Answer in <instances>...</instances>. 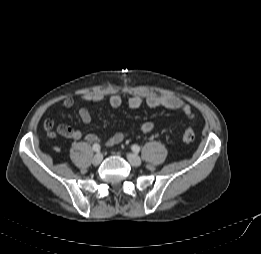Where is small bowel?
<instances>
[{"label": "small bowel", "mask_w": 261, "mask_h": 254, "mask_svg": "<svg viewBox=\"0 0 261 254\" xmlns=\"http://www.w3.org/2000/svg\"><path fill=\"white\" fill-rule=\"evenodd\" d=\"M106 94L103 92L98 93H85L81 96V99L85 102H100L106 99ZM109 105L113 108H118L122 105V97L118 94H113L108 98ZM60 105L64 108H71L74 105V100L71 97H67L60 102ZM142 105H147L150 108L163 107L170 110H178L182 112L188 119H192L194 114L190 105L184 102L182 99L170 96V95H158L148 94L146 97L134 96L128 100V107L131 109H137ZM78 115L82 123L89 124L92 120L91 113L88 108L81 107L78 111ZM55 123L53 120H46L44 122V129L50 136H54L56 133L75 140H79L83 137V132L80 129H75L70 126L60 124L54 131ZM140 131L149 133L154 130V124L152 122H145L138 128ZM134 132V129H124L114 133L106 142L107 146H114L121 143L125 138L130 136ZM84 139L89 143H100V138L95 134H87Z\"/></svg>", "instance_id": "small-bowel-1"}]
</instances>
